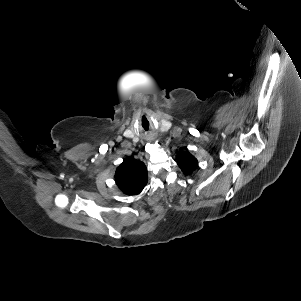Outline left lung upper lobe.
I'll list each match as a JSON object with an SVG mask.
<instances>
[{"mask_svg":"<svg viewBox=\"0 0 301 301\" xmlns=\"http://www.w3.org/2000/svg\"><path fill=\"white\" fill-rule=\"evenodd\" d=\"M177 163L184 174H190L197 166V159L192 156L188 151L182 152L177 160Z\"/></svg>","mask_w":301,"mask_h":301,"instance_id":"5c2ea615","label":"left lung upper lobe"}]
</instances>
